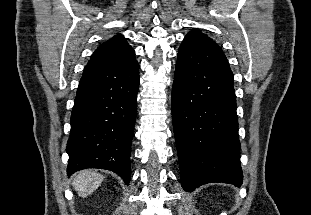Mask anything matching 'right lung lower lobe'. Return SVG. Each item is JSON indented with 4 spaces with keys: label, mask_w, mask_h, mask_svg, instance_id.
I'll return each instance as SVG.
<instances>
[{
    "label": "right lung lower lobe",
    "mask_w": 311,
    "mask_h": 215,
    "mask_svg": "<svg viewBox=\"0 0 311 215\" xmlns=\"http://www.w3.org/2000/svg\"><path fill=\"white\" fill-rule=\"evenodd\" d=\"M139 80L137 61L127 66L86 65L71 115L69 176L100 168L129 183Z\"/></svg>",
    "instance_id": "obj_1"
}]
</instances>
